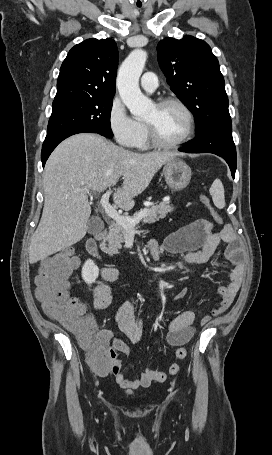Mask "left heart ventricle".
Masks as SVG:
<instances>
[{"label": "left heart ventricle", "instance_id": "1", "mask_svg": "<svg viewBox=\"0 0 272 455\" xmlns=\"http://www.w3.org/2000/svg\"><path fill=\"white\" fill-rule=\"evenodd\" d=\"M145 121L152 124L158 138L165 143H173L183 137L187 129V119L183 111L168 105L158 108L153 106Z\"/></svg>", "mask_w": 272, "mask_h": 455}]
</instances>
